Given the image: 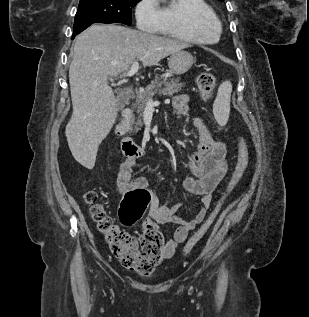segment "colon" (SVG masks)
<instances>
[{
    "instance_id": "5ec220e1",
    "label": "colon",
    "mask_w": 309,
    "mask_h": 317,
    "mask_svg": "<svg viewBox=\"0 0 309 317\" xmlns=\"http://www.w3.org/2000/svg\"><path fill=\"white\" fill-rule=\"evenodd\" d=\"M216 85L215 76L209 72H202L197 77V86L203 97H211ZM248 164V149L246 142L238 139L237 163L226 188L217 206L200 229L189 239L184 251L188 252L208 232L215 221L225 200L236 188L244 175ZM85 202L90 205L91 215L98 230L104 235L114 256L128 269L141 274H149L160 261L164 246V238L158 226L147 222L142 233L136 237L116 225L107 215L103 206L97 202V195L89 190L84 194ZM150 194L143 189H136L125 194L120 206L121 223L130 226L143 216L148 207Z\"/></svg>"
}]
</instances>
